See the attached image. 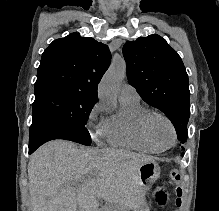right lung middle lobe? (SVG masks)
<instances>
[{
	"instance_id": "right-lung-middle-lobe-1",
	"label": "right lung middle lobe",
	"mask_w": 219,
	"mask_h": 211,
	"mask_svg": "<svg viewBox=\"0 0 219 211\" xmlns=\"http://www.w3.org/2000/svg\"><path fill=\"white\" fill-rule=\"evenodd\" d=\"M97 99L63 90H46L35 93L32 105L33 121L37 125H51L74 131L81 135L84 145L91 144L85 127Z\"/></svg>"
}]
</instances>
